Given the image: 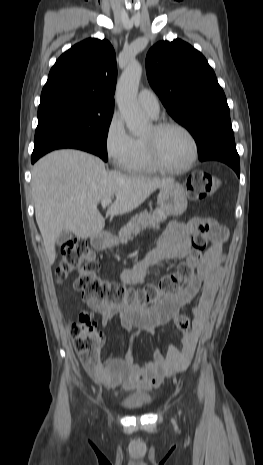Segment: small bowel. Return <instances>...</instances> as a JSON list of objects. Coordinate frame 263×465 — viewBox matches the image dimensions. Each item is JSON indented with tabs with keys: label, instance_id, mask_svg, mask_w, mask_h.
Here are the masks:
<instances>
[{
	"label": "small bowel",
	"instance_id": "obj_1",
	"mask_svg": "<svg viewBox=\"0 0 263 465\" xmlns=\"http://www.w3.org/2000/svg\"><path fill=\"white\" fill-rule=\"evenodd\" d=\"M200 233L202 230L197 219L188 223L171 222L155 248L142 261L122 273V283L126 286H134L143 281L150 266L165 260L185 258L192 251L193 239ZM205 235L210 239L211 244L198 266L196 276L178 294L145 309L128 305L112 306L87 299L88 306L100 314V327H105L114 316L118 315L119 324L124 331L137 329L130 338L124 357L115 358L109 354L105 362L90 371L91 377L97 384L115 392L118 389H149L158 387L165 377L182 372L189 366L198 335L207 321L221 279L220 263L226 232L215 226L206 231ZM198 294V302L192 308L193 329L183 334L181 347L169 346L166 353L156 347L151 359L136 362L132 354L135 337L141 332L155 334L159 326L174 321L181 315V310Z\"/></svg>",
	"mask_w": 263,
	"mask_h": 465
}]
</instances>
